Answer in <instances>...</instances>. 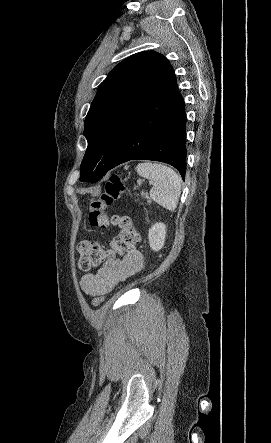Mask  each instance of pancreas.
I'll use <instances>...</instances> for the list:
<instances>
[{"mask_svg": "<svg viewBox=\"0 0 271 443\" xmlns=\"http://www.w3.org/2000/svg\"><path fill=\"white\" fill-rule=\"evenodd\" d=\"M141 198H146V200H148V204H151V200H150V198H149L147 192H146V194H144V192H142V194H141Z\"/></svg>", "mask_w": 271, "mask_h": 443, "instance_id": "obj_1", "label": "pancreas"}]
</instances>
